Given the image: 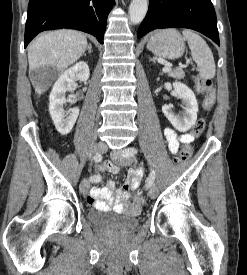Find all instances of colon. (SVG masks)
Segmentation results:
<instances>
[{"label": "colon", "mask_w": 247, "mask_h": 275, "mask_svg": "<svg viewBox=\"0 0 247 275\" xmlns=\"http://www.w3.org/2000/svg\"><path fill=\"white\" fill-rule=\"evenodd\" d=\"M195 82H196L197 91L204 95V100H203L204 110L210 111L214 107L215 101H216V90L213 83L210 80L202 79V78H197ZM205 127H206L205 119L203 118L198 119L192 128V134L194 136L200 135L205 129ZM191 156H192V149L189 145H186L180 151V153L175 157L174 161L175 163H184L187 160H189ZM103 165L105 167H110L111 163L105 162ZM134 199L138 205L145 204V197L142 194V192L135 193Z\"/></svg>", "instance_id": "obj_1"}]
</instances>
